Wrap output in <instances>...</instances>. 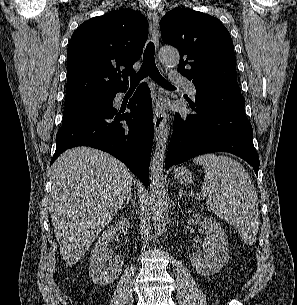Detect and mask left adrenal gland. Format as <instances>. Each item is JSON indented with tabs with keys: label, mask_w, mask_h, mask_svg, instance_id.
<instances>
[{
	"label": "left adrenal gland",
	"mask_w": 297,
	"mask_h": 305,
	"mask_svg": "<svg viewBox=\"0 0 297 305\" xmlns=\"http://www.w3.org/2000/svg\"><path fill=\"white\" fill-rule=\"evenodd\" d=\"M187 193L183 192V190L180 188L179 193H178V199H181L183 195Z\"/></svg>",
	"instance_id": "1"
}]
</instances>
